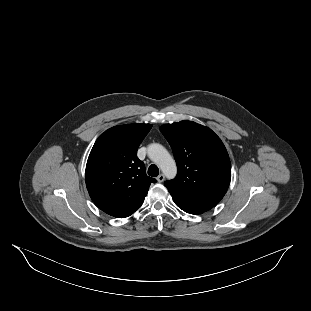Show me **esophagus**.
Segmentation results:
<instances>
[{"instance_id": "34e87169", "label": "esophagus", "mask_w": 311, "mask_h": 311, "mask_svg": "<svg viewBox=\"0 0 311 311\" xmlns=\"http://www.w3.org/2000/svg\"><path fill=\"white\" fill-rule=\"evenodd\" d=\"M165 179V176L163 174H160L158 177H157V181L158 182H163Z\"/></svg>"}]
</instances>
